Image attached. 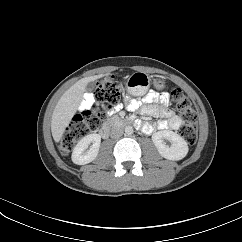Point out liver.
I'll use <instances>...</instances> for the list:
<instances>
[{"mask_svg": "<svg viewBox=\"0 0 242 242\" xmlns=\"http://www.w3.org/2000/svg\"><path fill=\"white\" fill-rule=\"evenodd\" d=\"M105 75L108 74H99L80 79L62 95L53 111L51 121V132L56 142L61 140L66 127L78 110L87 84Z\"/></svg>", "mask_w": 242, "mask_h": 242, "instance_id": "obj_1", "label": "liver"}]
</instances>
